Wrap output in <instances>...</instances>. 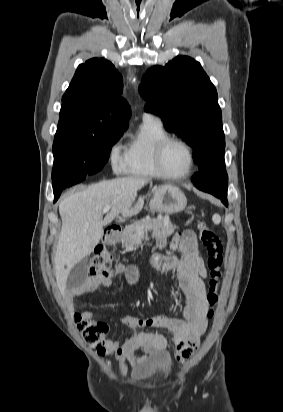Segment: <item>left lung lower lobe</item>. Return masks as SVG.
Instances as JSON below:
<instances>
[{
  "label": "left lung lower lobe",
  "mask_w": 283,
  "mask_h": 412,
  "mask_svg": "<svg viewBox=\"0 0 283 412\" xmlns=\"http://www.w3.org/2000/svg\"><path fill=\"white\" fill-rule=\"evenodd\" d=\"M213 156L212 166L197 173L193 177V182L198 189L220 198L227 206L228 176L225 170L224 154L216 152Z\"/></svg>",
  "instance_id": "obj_1"
}]
</instances>
